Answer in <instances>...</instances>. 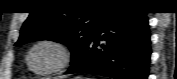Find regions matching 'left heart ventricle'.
<instances>
[{
	"mask_svg": "<svg viewBox=\"0 0 177 79\" xmlns=\"http://www.w3.org/2000/svg\"><path fill=\"white\" fill-rule=\"evenodd\" d=\"M59 60L58 51L48 45H43L34 50L31 63L37 70L47 71L52 69Z\"/></svg>",
	"mask_w": 177,
	"mask_h": 79,
	"instance_id": "1",
	"label": "left heart ventricle"
}]
</instances>
